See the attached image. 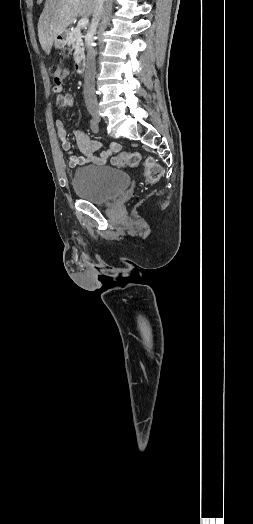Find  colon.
<instances>
[{
  "label": "colon",
  "instance_id": "1",
  "mask_svg": "<svg viewBox=\"0 0 253 524\" xmlns=\"http://www.w3.org/2000/svg\"><path fill=\"white\" fill-rule=\"evenodd\" d=\"M49 72L54 80L55 86L61 88L64 80L69 75V69L59 64H52ZM141 161V155L138 152H120L114 158V164L118 167H136ZM163 170L159 163L154 159L146 160L145 178L150 184L156 183L162 177Z\"/></svg>",
  "mask_w": 253,
  "mask_h": 524
}]
</instances>
